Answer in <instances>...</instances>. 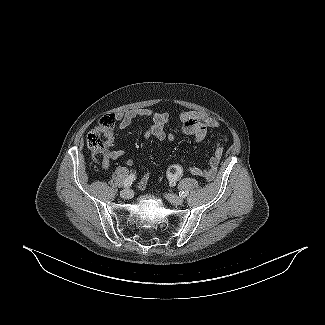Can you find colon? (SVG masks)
Masks as SVG:
<instances>
[{"label": "colon", "instance_id": "obj_1", "mask_svg": "<svg viewBox=\"0 0 325 325\" xmlns=\"http://www.w3.org/2000/svg\"><path fill=\"white\" fill-rule=\"evenodd\" d=\"M115 126L114 115L103 116L87 136V145L95 152L105 150L113 140ZM184 168L173 164L167 168L166 177L171 183L177 182L183 175Z\"/></svg>", "mask_w": 325, "mask_h": 325}]
</instances>
